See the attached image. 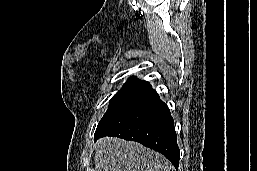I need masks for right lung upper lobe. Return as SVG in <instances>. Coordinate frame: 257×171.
Listing matches in <instances>:
<instances>
[{
	"label": "right lung upper lobe",
	"mask_w": 257,
	"mask_h": 171,
	"mask_svg": "<svg viewBox=\"0 0 257 171\" xmlns=\"http://www.w3.org/2000/svg\"><path fill=\"white\" fill-rule=\"evenodd\" d=\"M147 86L148 90L151 89L150 85L146 81L139 80L135 77H131L128 81L124 84L122 89L131 90L136 89L138 87Z\"/></svg>",
	"instance_id": "obj_1"
}]
</instances>
